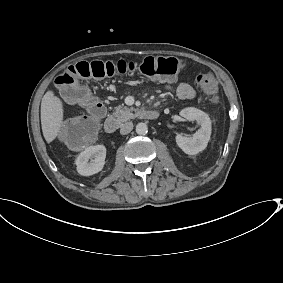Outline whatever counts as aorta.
<instances>
[{"label": "aorta", "instance_id": "aorta-1", "mask_svg": "<svg viewBox=\"0 0 283 283\" xmlns=\"http://www.w3.org/2000/svg\"><path fill=\"white\" fill-rule=\"evenodd\" d=\"M148 132V127L145 123L141 122L136 125V133L139 135H144Z\"/></svg>", "mask_w": 283, "mask_h": 283}]
</instances>
